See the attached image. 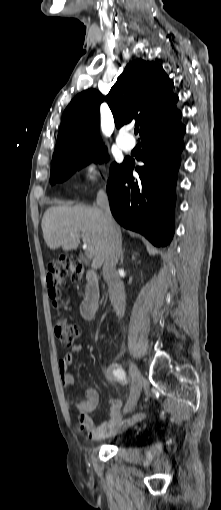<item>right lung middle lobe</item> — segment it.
Segmentation results:
<instances>
[{
	"label": "right lung middle lobe",
	"mask_w": 221,
	"mask_h": 510,
	"mask_svg": "<svg viewBox=\"0 0 221 510\" xmlns=\"http://www.w3.org/2000/svg\"><path fill=\"white\" fill-rule=\"evenodd\" d=\"M105 159H107V152L102 145L73 149L52 160L50 181L52 184L62 182L69 178L76 170L90 162L102 163ZM119 166L117 163L111 165V176H113Z\"/></svg>",
	"instance_id": "1"
}]
</instances>
